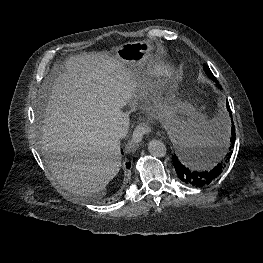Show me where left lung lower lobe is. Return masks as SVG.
<instances>
[{"label":"left lung lower lobe","mask_w":263,"mask_h":263,"mask_svg":"<svg viewBox=\"0 0 263 263\" xmlns=\"http://www.w3.org/2000/svg\"><path fill=\"white\" fill-rule=\"evenodd\" d=\"M226 105L230 116H232L228 101L226 102ZM230 135V142L222 154L223 158L215 167L211 169H207L205 171L197 170L191 162L192 158L194 157L192 154H187V157L174 154L172 156V162L179 179L187 185L199 188L206 187L216 181L225 169L226 164L232 155V149L235 143L234 124H232Z\"/></svg>","instance_id":"0a47b994"}]
</instances>
